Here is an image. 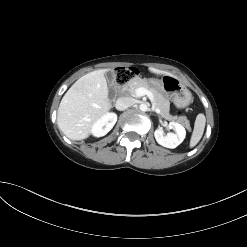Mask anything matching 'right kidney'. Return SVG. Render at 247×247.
I'll list each match as a JSON object with an SVG mask.
<instances>
[{
  "label": "right kidney",
  "instance_id": "right-kidney-1",
  "mask_svg": "<svg viewBox=\"0 0 247 247\" xmlns=\"http://www.w3.org/2000/svg\"><path fill=\"white\" fill-rule=\"evenodd\" d=\"M117 121V115L115 113H107L98 120H96L91 126V133L95 137L105 136L115 125Z\"/></svg>",
  "mask_w": 247,
  "mask_h": 247
}]
</instances>
